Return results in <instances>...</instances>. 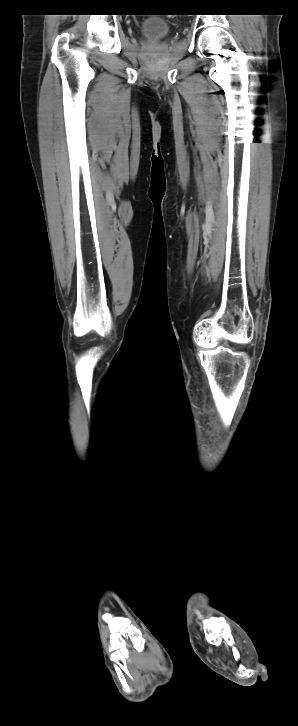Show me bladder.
Listing matches in <instances>:
<instances>
[{"label": "bladder", "mask_w": 298, "mask_h": 726, "mask_svg": "<svg viewBox=\"0 0 298 726\" xmlns=\"http://www.w3.org/2000/svg\"><path fill=\"white\" fill-rule=\"evenodd\" d=\"M140 31L148 37L162 39L169 34L170 24L164 18L150 16L143 19Z\"/></svg>", "instance_id": "31cf9c89"}]
</instances>
